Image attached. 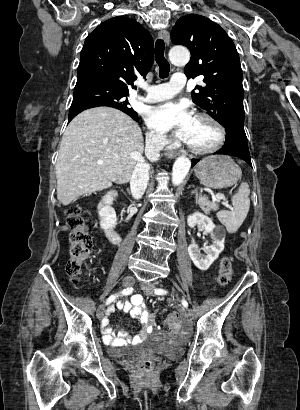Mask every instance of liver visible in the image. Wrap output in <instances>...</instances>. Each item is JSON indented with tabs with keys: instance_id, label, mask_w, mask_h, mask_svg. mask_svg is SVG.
<instances>
[{
	"instance_id": "liver-1",
	"label": "liver",
	"mask_w": 300,
	"mask_h": 410,
	"mask_svg": "<svg viewBox=\"0 0 300 410\" xmlns=\"http://www.w3.org/2000/svg\"><path fill=\"white\" fill-rule=\"evenodd\" d=\"M143 150L142 131L125 113L109 107L81 112L60 143L55 167L57 199L66 206L112 183L129 182L137 163L144 161Z\"/></svg>"
}]
</instances>
